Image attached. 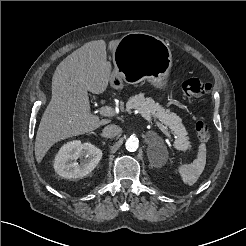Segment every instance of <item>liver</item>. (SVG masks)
I'll use <instances>...</instances> for the list:
<instances>
[{
    "instance_id": "obj_1",
    "label": "liver",
    "mask_w": 246,
    "mask_h": 246,
    "mask_svg": "<svg viewBox=\"0 0 246 246\" xmlns=\"http://www.w3.org/2000/svg\"><path fill=\"white\" fill-rule=\"evenodd\" d=\"M119 40L109 42L114 51ZM111 79L104 40L91 41L68 55L52 78V98L40 121L35 141V157L40 163L58 141L89 133L109 119L91 114L88 91L103 93Z\"/></svg>"
}]
</instances>
